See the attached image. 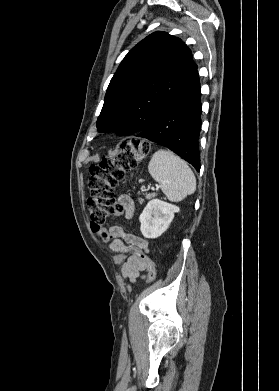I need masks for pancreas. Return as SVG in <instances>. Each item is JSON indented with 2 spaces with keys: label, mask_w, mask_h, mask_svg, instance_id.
<instances>
[{
  "label": "pancreas",
  "mask_w": 279,
  "mask_h": 391,
  "mask_svg": "<svg viewBox=\"0 0 279 391\" xmlns=\"http://www.w3.org/2000/svg\"><path fill=\"white\" fill-rule=\"evenodd\" d=\"M154 196H155L154 193L146 194V198H147V199H150V198H152V197H154ZM138 201H139L140 204H142V203L144 202V200H143L142 198H139Z\"/></svg>",
  "instance_id": "pancreas-1"
}]
</instances>
